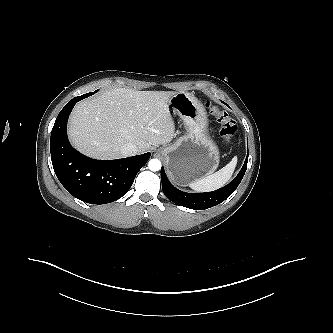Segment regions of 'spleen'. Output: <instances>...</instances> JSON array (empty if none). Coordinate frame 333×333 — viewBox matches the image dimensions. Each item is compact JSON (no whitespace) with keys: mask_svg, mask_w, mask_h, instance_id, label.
Masks as SVG:
<instances>
[{"mask_svg":"<svg viewBox=\"0 0 333 333\" xmlns=\"http://www.w3.org/2000/svg\"><path fill=\"white\" fill-rule=\"evenodd\" d=\"M237 156H235L226 166L219 171L189 183V187L198 192L214 191L224 186L232 177L237 165Z\"/></svg>","mask_w":333,"mask_h":333,"instance_id":"1","label":"spleen"}]
</instances>
